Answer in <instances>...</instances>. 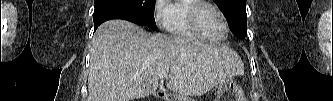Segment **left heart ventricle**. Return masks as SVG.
I'll return each instance as SVG.
<instances>
[{"label": "left heart ventricle", "mask_w": 333, "mask_h": 101, "mask_svg": "<svg viewBox=\"0 0 333 101\" xmlns=\"http://www.w3.org/2000/svg\"><path fill=\"white\" fill-rule=\"evenodd\" d=\"M199 24L202 31L211 38H219L224 33V24L219 14L210 7H203L199 12Z\"/></svg>", "instance_id": "b2bd125f"}]
</instances>
